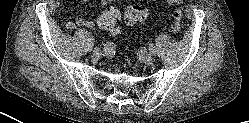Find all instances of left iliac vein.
Listing matches in <instances>:
<instances>
[{
	"instance_id": "obj_1",
	"label": "left iliac vein",
	"mask_w": 249,
	"mask_h": 123,
	"mask_svg": "<svg viewBox=\"0 0 249 123\" xmlns=\"http://www.w3.org/2000/svg\"><path fill=\"white\" fill-rule=\"evenodd\" d=\"M142 58H143V61H144L146 64H148V65L152 64L153 61H154L152 55L149 54V53H144V54L142 55Z\"/></svg>"
}]
</instances>
